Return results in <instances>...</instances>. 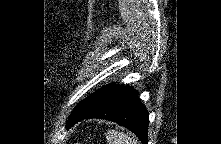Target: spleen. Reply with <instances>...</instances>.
<instances>
[{
	"mask_svg": "<svg viewBox=\"0 0 221 144\" xmlns=\"http://www.w3.org/2000/svg\"><path fill=\"white\" fill-rule=\"evenodd\" d=\"M108 144H137V141L128 134L117 130H109L106 133Z\"/></svg>",
	"mask_w": 221,
	"mask_h": 144,
	"instance_id": "3e777b00",
	"label": "spleen"
}]
</instances>
